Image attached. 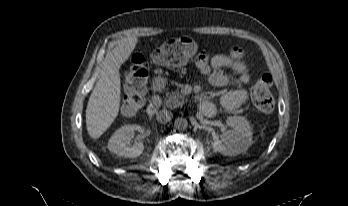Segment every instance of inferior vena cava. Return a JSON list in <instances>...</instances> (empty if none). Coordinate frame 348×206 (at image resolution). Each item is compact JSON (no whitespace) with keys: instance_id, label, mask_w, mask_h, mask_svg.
I'll list each match as a JSON object with an SVG mask.
<instances>
[{"instance_id":"inferior-vena-cava-1","label":"inferior vena cava","mask_w":348,"mask_h":206,"mask_svg":"<svg viewBox=\"0 0 348 206\" xmlns=\"http://www.w3.org/2000/svg\"><path fill=\"white\" fill-rule=\"evenodd\" d=\"M172 117V112L167 109L160 110L156 115L157 120L161 123L169 122L172 119Z\"/></svg>"}]
</instances>
